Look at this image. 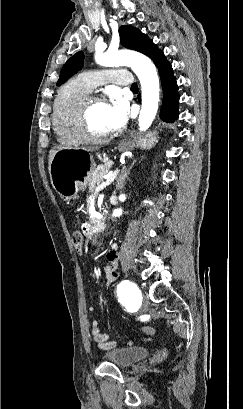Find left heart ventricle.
I'll list each match as a JSON object with an SVG mask.
<instances>
[{
  "label": "left heart ventricle",
  "mask_w": 243,
  "mask_h": 409,
  "mask_svg": "<svg viewBox=\"0 0 243 409\" xmlns=\"http://www.w3.org/2000/svg\"><path fill=\"white\" fill-rule=\"evenodd\" d=\"M107 106L105 101H95L90 105L88 111V122L90 130L94 134H108Z\"/></svg>",
  "instance_id": "b2bd125f"
}]
</instances>
